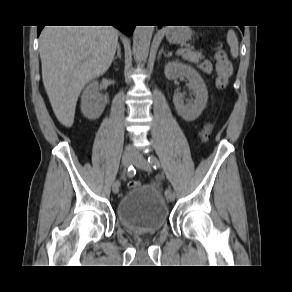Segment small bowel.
<instances>
[{"mask_svg":"<svg viewBox=\"0 0 292 292\" xmlns=\"http://www.w3.org/2000/svg\"><path fill=\"white\" fill-rule=\"evenodd\" d=\"M199 67L204 73H207V74L211 73L212 71V64L208 60L203 61Z\"/></svg>","mask_w":292,"mask_h":292,"instance_id":"1","label":"small bowel"}]
</instances>
